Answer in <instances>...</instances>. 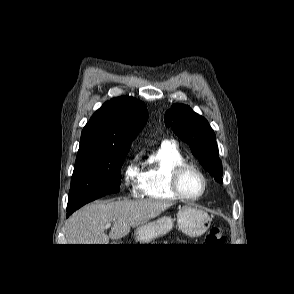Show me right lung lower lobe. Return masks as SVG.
Instances as JSON below:
<instances>
[{
  "label": "right lung lower lobe",
  "mask_w": 294,
  "mask_h": 294,
  "mask_svg": "<svg viewBox=\"0 0 294 294\" xmlns=\"http://www.w3.org/2000/svg\"><path fill=\"white\" fill-rule=\"evenodd\" d=\"M83 205H78V206H74V207H71V208H67V211H68L67 216H69L70 214H72L75 210L79 209Z\"/></svg>",
  "instance_id": "right-lung-lower-lobe-1"
}]
</instances>
